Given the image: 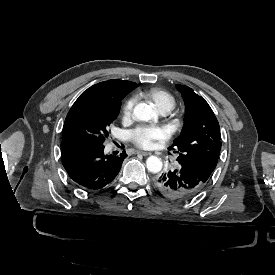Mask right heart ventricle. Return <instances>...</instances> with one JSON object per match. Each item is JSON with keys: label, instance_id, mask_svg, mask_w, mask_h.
I'll use <instances>...</instances> for the list:
<instances>
[{"label": "right heart ventricle", "instance_id": "right-heart-ventricle-1", "mask_svg": "<svg viewBox=\"0 0 275 275\" xmlns=\"http://www.w3.org/2000/svg\"><path fill=\"white\" fill-rule=\"evenodd\" d=\"M145 94L155 101L161 111L169 112L175 105L173 96L161 89L151 88Z\"/></svg>", "mask_w": 275, "mask_h": 275}]
</instances>
